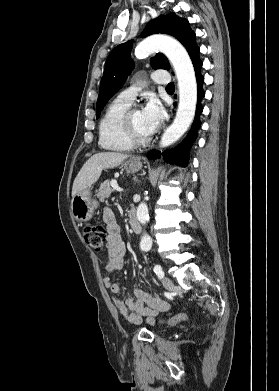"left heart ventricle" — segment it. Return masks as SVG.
I'll list each match as a JSON object with an SVG mask.
<instances>
[{
	"label": "left heart ventricle",
	"mask_w": 279,
	"mask_h": 391,
	"mask_svg": "<svg viewBox=\"0 0 279 391\" xmlns=\"http://www.w3.org/2000/svg\"><path fill=\"white\" fill-rule=\"evenodd\" d=\"M132 119H133L134 128L140 136H148L151 134V132L147 128L142 110L140 109L136 110L133 113Z\"/></svg>",
	"instance_id": "b2bd125f"
}]
</instances>
